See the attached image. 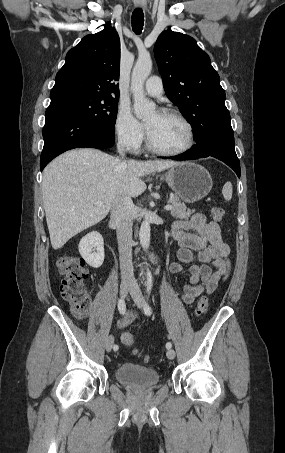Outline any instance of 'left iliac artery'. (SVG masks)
I'll use <instances>...</instances> for the list:
<instances>
[{"label": "left iliac artery", "instance_id": "1", "mask_svg": "<svg viewBox=\"0 0 285 453\" xmlns=\"http://www.w3.org/2000/svg\"><path fill=\"white\" fill-rule=\"evenodd\" d=\"M146 286H147V290H146V298H147V300H148L149 295H150V293H151V289H152V275H151V273H148V274H147V284H146ZM143 309H144V313H145L146 315H151V314H152V309H151V307L148 305V303H145V304H144V308H143ZM171 347H172V343H171V342H167V343H166V348H167V349H170Z\"/></svg>", "mask_w": 285, "mask_h": 453}]
</instances>
